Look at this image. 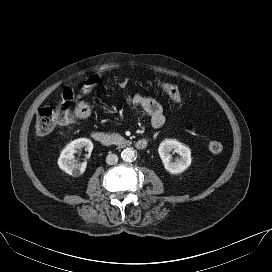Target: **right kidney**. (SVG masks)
<instances>
[{
	"instance_id": "obj_1",
	"label": "right kidney",
	"mask_w": 272,
	"mask_h": 272,
	"mask_svg": "<svg viewBox=\"0 0 272 272\" xmlns=\"http://www.w3.org/2000/svg\"><path fill=\"white\" fill-rule=\"evenodd\" d=\"M81 148H85V150L88 151L90 155L93 150V143L87 138H79L73 140L61 151L60 157L58 159V165L60 169L74 177L82 175L86 170V162L78 164L74 160V153L77 152V149Z\"/></svg>"
}]
</instances>
